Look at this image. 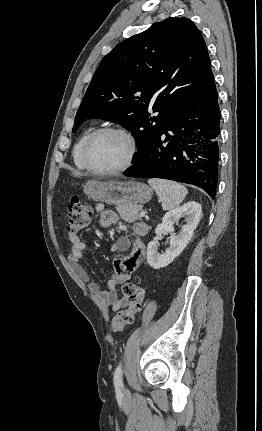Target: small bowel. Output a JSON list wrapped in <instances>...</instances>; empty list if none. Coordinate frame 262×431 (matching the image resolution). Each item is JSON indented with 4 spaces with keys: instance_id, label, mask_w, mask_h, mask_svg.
<instances>
[{
    "instance_id": "obj_1",
    "label": "small bowel",
    "mask_w": 262,
    "mask_h": 431,
    "mask_svg": "<svg viewBox=\"0 0 262 431\" xmlns=\"http://www.w3.org/2000/svg\"><path fill=\"white\" fill-rule=\"evenodd\" d=\"M96 210L102 212L103 205L98 204ZM100 222L103 226L109 227L121 223V220L115 213L104 212L101 215ZM146 231V223L132 222L129 227L131 237L124 235L115 240L112 250L120 253H128L119 255L114 261L115 273L109 279L104 289H101L97 283L91 281L89 273L81 265L83 253L87 247L86 242L77 235L67 234V239L70 243L68 261L72 271L80 281L87 284L89 291L98 301L110 307L113 311H118L128 305V298L119 294L118 285L130 279L134 281L138 280V275H134L133 273L140 266L145 255V245L142 237L146 234Z\"/></svg>"
}]
</instances>
